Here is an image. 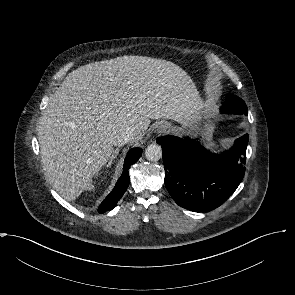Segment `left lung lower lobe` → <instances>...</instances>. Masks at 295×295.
<instances>
[{
	"mask_svg": "<svg viewBox=\"0 0 295 295\" xmlns=\"http://www.w3.org/2000/svg\"><path fill=\"white\" fill-rule=\"evenodd\" d=\"M225 114H241L220 110ZM163 149L165 186L181 207L208 212L222 205L243 179L248 134L225 153H210L199 142L165 136L157 139Z\"/></svg>",
	"mask_w": 295,
	"mask_h": 295,
	"instance_id": "obj_1",
	"label": "left lung lower lobe"
}]
</instances>
